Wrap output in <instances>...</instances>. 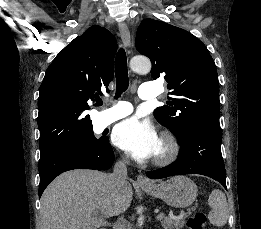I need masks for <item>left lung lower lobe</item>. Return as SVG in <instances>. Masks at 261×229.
Wrapping results in <instances>:
<instances>
[{"label":"left lung lower lobe","instance_id":"obj_1","mask_svg":"<svg viewBox=\"0 0 261 229\" xmlns=\"http://www.w3.org/2000/svg\"><path fill=\"white\" fill-rule=\"evenodd\" d=\"M222 134L208 127H197L180 142L179 158L171 165L146 173L151 179L174 175L201 174L226 188V171L221 154Z\"/></svg>","mask_w":261,"mask_h":229}]
</instances>
